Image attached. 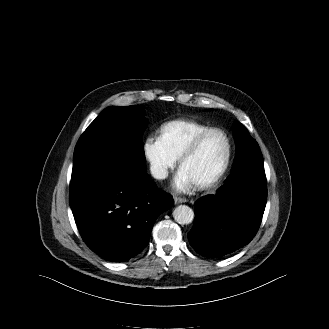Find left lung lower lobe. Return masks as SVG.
I'll return each mask as SVG.
<instances>
[{"label":"left lung lower lobe","instance_id":"0a47b994","mask_svg":"<svg viewBox=\"0 0 329 329\" xmlns=\"http://www.w3.org/2000/svg\"><path fill=\"white\" fill-rule=\"evenodd\" d=\"M236 160L232 174L216 195L195 203V221L188 233L193 249L219 258L247 245L257 233L266 206L264 167L248 169Z\"/></svg>","mask_w":329,"mask_h":329}]
</instances>
